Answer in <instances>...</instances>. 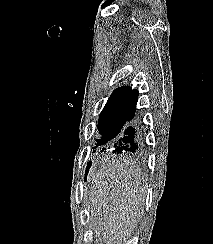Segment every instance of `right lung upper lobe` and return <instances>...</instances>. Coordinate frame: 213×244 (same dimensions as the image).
<instances>
[{"label":"right lung upper lobe","instance_id":"1","mask_svg":"<svg viewBox=\"0 0 213 244\" xmlns=\"http://www.w3.org/2000/svg\"><path fill=\"white\" fill-rule=\"evenodd\" d=\"M113 97H129L138 99V90L132 89L129 86L119 87L111 94L110 98Z\"/></svg>","mask_w":213,"mask_h":244}]
</instances>
